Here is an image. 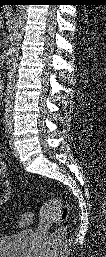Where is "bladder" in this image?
Masks as SVG:
<instances>
[{"label": "bladder", "mask_w": 106, "mask_h": 257, "mask_svg": "<svg viewBox=\"0 0 106 257\" xmlns=\"http://www.w3.org/2000/svg\"><path fill=\"white\" fill-rule=\"evenodd\" d=\"M33 236L32 230H24L14 235L1 237V257H27L31 250Z\"/></svg>", "instance_id": "obj_1"}]
</instances>
